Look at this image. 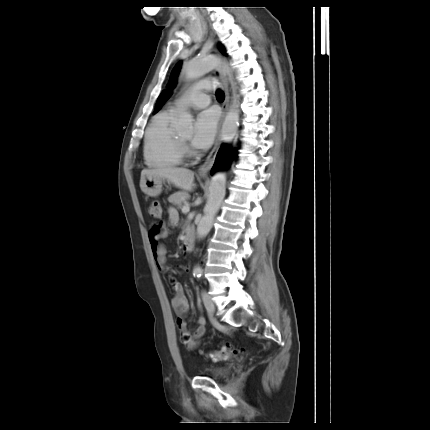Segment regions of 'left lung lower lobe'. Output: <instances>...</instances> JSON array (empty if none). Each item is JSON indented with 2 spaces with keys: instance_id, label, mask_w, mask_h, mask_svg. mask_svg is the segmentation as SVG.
Returning a JSON list of instances; mask_svg holds the SVG:
<instances>
[{
  "instance_id": "0a47b994",
  "label": "left lung lower lobe",
  "mask_w": 430,
  "mask_h": 430,
  "mask_svg": "<svg viewBox=\"0 0 430 430\" xmlns=\"http://www.w3.org/2000/svg\"><path fill=\"white\" fill-rule=\"evenodd\" d=\"M230 159H231V151L228 146L223 145L216 156L215 164L212 170L215 171L219 168L224 167L229 162Z\"/></svg>"
}]
</instances>
